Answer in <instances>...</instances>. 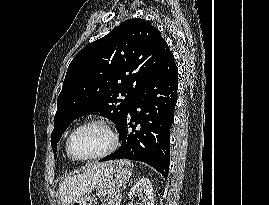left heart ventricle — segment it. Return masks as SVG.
<instances>
[{"label":"left heart ventricle","mask_w":269,"mask_h":205,"mask_svg":"<svg viewBox=\"0 0 269 205\" xmlns=\"http://www.w3.org/2000/svg\"><path fill=\"white\" fill-rule=\"evenodd\" d=\"M110 145L107 131L98 124L88 125L77 131L72 139V151L78 157L98 154Z\"/></svg>","instance_id":"1"}]
</instances>
